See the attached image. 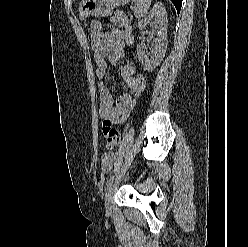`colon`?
Here are the masks:
<instances>
[{"mask_svg": "<svg viewBox=\"0 0 248 247\" xmlns=\"http://www.w3.org/2000/svg\"><path fill=\"white\" fill-rule=\"evenodd\" d=\"M101 23L99 21H93L91 23V31L93 34H101ZM146 87V83H145V78L142 74H139L135 77L131 87H130V92H129V96H128V101L125 107V110L121 116V122L123 123L126 117V114L129 113V111L131 110V108L136 104V102L138 101V99L141 97V95L143 94L144 90Z\"/></svg>", "mask_w": 248, "mask_h": 247, "instance_id": "5ec220e1", "label": "colon"}]
</instances>
